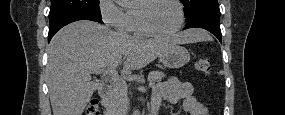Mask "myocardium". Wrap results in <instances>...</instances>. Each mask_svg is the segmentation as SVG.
Here are the masks:
<instances>
[{"instance_id":"myocardium-1","label":"myocardium","mask_w":285,"mask_h":115,"mask_svg":"<svg viewBox=\"0 0 285 115\" xmlns=\"http://www.w3.org/2000/svg\"><path fill=\"white\" fill-rule=\"evenodd\" d=\"M156 1H161V0H144L143 3L138 7V17H139V22H140L141 27L150 36L168 37V36L175 35L176 33H178L181 30V28L183 27L184 22H185V12H184V8H183L181 1H179V0H167V1H170L176 5V7L178 9V16H179L177 27L171 31H168V32H161V31H157V30L153 29L148 24L145 16L142 13L143 9L147 8L150 4H152Z\"/></svg>"}]
</instances>
